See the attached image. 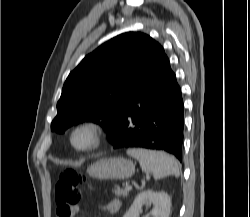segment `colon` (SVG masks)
<instances>
[{
	"label": "colon",
	"mask_w": 250,
	"mask_h": 217,
	"mask_svg": "<svg viewBox=\"0 0 250 217\" xmlns=\"http://www.w3.org/2000/svg\"><path fill=\"white\" fill-rule=\"evenodd\" d=\"M83 181L84 176L74 170H66L59 175L55 184V202L62 217L78 205Z\"/></svg>",
	"instance_id": "colon-1"
}]
</instances>
